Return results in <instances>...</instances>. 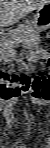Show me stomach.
<instances>
[{
    "label": "stomach",
    "instance_id": "stomach-1",
    "mask_svg": "<svg viewBox=\"0 0 50 148\" xmlns=\"http://www.w3.org/2000/svg\"><path fill=\"white\" fill-rule=\"evenodd\" d=\"M32 26L37 31H44L50 28V5L46 4L37 10L32 19ZM11 57L12 55L9 53L6 60Z\"/></svg>",
    "mask_w": 50,
    "mask_h": 148
}]
</instances>
